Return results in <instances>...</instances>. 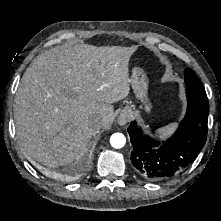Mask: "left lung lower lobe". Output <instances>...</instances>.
<instances>
[{
	"label": "left lung lower lobe",
	"mask_w": 221,
	"mask_h": 221,
	"mask_svg": "<svg viewBox=\"0 0 221 221\" xmlns=\"http://www.w3.org/2000/svg\"><path fill=\"white\" fill-rule=\"evenodd\" d=\"M187 112L175 134L163 142L143 134L135 122L127 129L133 151L131 162L136 172L149 181L174 177L189 164L203 148L207 139L209 103L206 92L186 88ZM159 149L155 150L153 148Z\"/></svg>",
	"instance_id": "left-lung-lower-lobe-1"
}]
</instances>
